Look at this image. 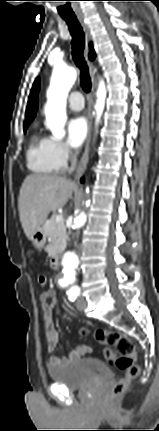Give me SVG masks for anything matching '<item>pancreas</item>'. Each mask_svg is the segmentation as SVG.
I'll return each instance as SVG.
<instances>
[{
  "label": "pancreas",
  "instance_id": "cf45deb5",
  "mask_svg": "<svg viewBox=\"0 0 159 431\" xmlns=\"http://www.w3.org/2000/svg\"><path fill=\"white\" fill-rule=\"evenodd\" d=\"M43 230L49 239V245L47 246L48 255L55 256L61 252L67 242L66 226L64 221L57 223L55 216H52L43 225Z\"/></svg>",
  "mask_w": 159,
  "mask_h": 431
}]
</instances>
